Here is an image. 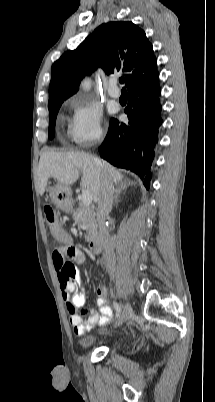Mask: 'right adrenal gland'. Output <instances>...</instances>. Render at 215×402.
<instances>
[{"label": "right adrenal gland", "mask_w": 215, "mask_h": 402, "mask_svg": "<svg viewBox=\"0 0 215 402\" xmlns=\"http://www.w3.org/2000/svg\"><path fill=\"white\" fill-rule=\"evenodd\" d=\"M130 185H132V183L127 181H121L120 183L115 184L116 188H114V204L118 203L119 195Z\"/></svg>", "instance_id": "obj_1"}]
</instances>
